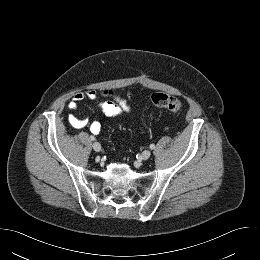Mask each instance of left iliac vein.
I'll use <instances>...</instances> for the list:
<instances>
[{"label":"left iliac vein","mask_w":260,"mask_h":260,"mask_svg":"<svg viewBox=\"0 0 260 260\" xmlns=\"http://www.w3.org/2000/svg\"><path fill=\"white\" fill-rule=\"evenodd\" d=\"M151 156V152L149 150H144L141 154L142 160H147Z\"/></svg>","instance_id":"obj_1"}]
</instances>
